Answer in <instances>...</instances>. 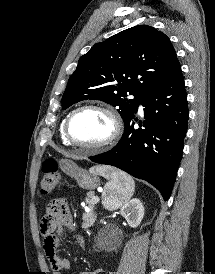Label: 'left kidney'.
<instances>
[{"instance_id": "obj_1", "label": "left kidney", "mask_w": 215, "mask_h": 274, "mask_svg": "<svg viewBox=\"0 0 215 274\" xmlns=\"http://www.w3.org/2000/svg\"><path fill=\"white\" fill-rule=\"evenodd\" d=\"M120 213L130 227L136 228L143 219L144 207L139 199L134 198L121 208Z\"/></svg>"}]
</instances>
